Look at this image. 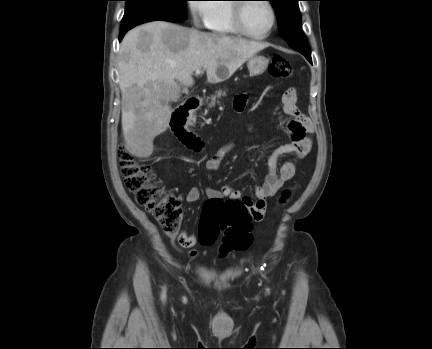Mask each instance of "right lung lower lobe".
<instances>
[{
  "mask_svg": "<svg viewBox=\"0 0 432 349\" xmlns=\"http://www.w3.org/2000/svg\"><path fill=\"white\" fill-rule=\"evenodd\" d=\"M128 30H129V29L121 30V34L119 35V41L122 40L123 36L126 34V32H127Z\"/></svg>",
  "mask_w": 432,
  "mask_h": 349,
  "instance_id": "right-lung-lower-lobe-1",
  "label": "right lung lower lobe"
}]
</instances>
